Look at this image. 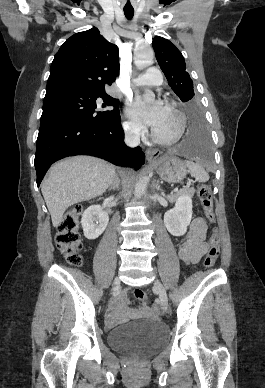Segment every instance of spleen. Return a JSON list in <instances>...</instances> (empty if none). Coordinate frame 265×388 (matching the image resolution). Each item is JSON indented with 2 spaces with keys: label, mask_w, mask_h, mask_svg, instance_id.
Instances as JSON below:
<instances>
[{
  "label": "spleen",
  "mask_w": 265,
  "mask_h": 388,
  "mask_svg": "<svg viewBox=\"0 0 265 388\" xmlns=\"http://www.w3.org/2000/svg\"><path fill=\"white\" fill-rule=\"evenodd\" d=\"M185 164L187 168H189L192 178H196L198 182H208L209 176L206 174L205 170L199 166V164H195V162H188V160H185Z\"/></svg>",
  "instance_id": "1"
}]
</instances>
